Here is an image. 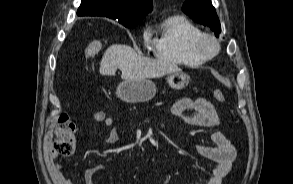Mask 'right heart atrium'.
<instances>
[{
	"label": "right heart atrium",
	"instance_id": "right-heart-atrium-1",
	"mask_svg": "<svg viewBox=\"0 0 293 184\" xmlns=\"http://www.w3.org/2000/svg\"><path fill=\"white\" fill-rule=\"evenodd\" d=\"M143 38H144V44L148 45L150 43V37H149V34L146 30L143 33Z\"/></svg>",
	"mask_w": 293,
	"mask_h": 184
}]
</instances>
